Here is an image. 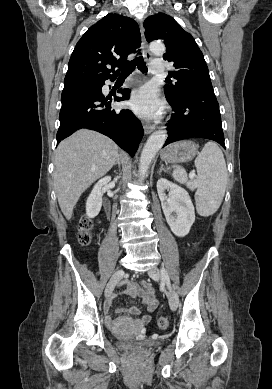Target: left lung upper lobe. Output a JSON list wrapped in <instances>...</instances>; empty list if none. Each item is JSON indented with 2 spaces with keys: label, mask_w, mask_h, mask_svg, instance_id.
<instances>
[{
  "label": "left lung upper lobe",
  "mask_w": 272,
  "mask_h": 389,
  "mask_svg": "<svg viewBox=\"0 0 272 389\" xmlns=\"http://www.w3.org/2000/svg\"><path fill=\"white\" fill-rule=\"evenodd\" d=\"M145 37L148 42L161 39L166 45L163 59L173 62L175 70L171 76L177 79L164 88L168 99L176 100L183 90L212 86L204 56L194 38L170 16L158 13L144 21Z\"/></svg>",
  "instance_id": "5c2ea615"
}]
</instances>
